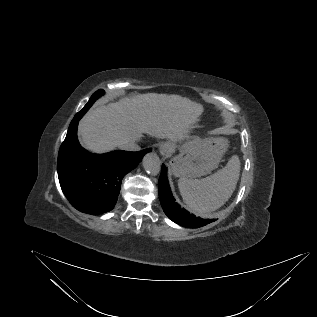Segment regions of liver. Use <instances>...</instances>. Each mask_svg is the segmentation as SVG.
<instances>
[{
	"instance_id": "liver-1",
	"label": "liver",
	"mask_w": 317,
	"mask_h": 317,
	"mask_svg": "<svg viewBox=\"0 0 317 317\" xmlns=\"http://www.w3.org/2000/svg\"><path fill=\"white\" fill-rule=\"evenodd\" d=\"M203 106L175 94L146 93L100 105L86 113L78 134L88 150L104 153L143 134L181 142L200 120Z\"/></svg>"
}]
</instances>
